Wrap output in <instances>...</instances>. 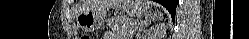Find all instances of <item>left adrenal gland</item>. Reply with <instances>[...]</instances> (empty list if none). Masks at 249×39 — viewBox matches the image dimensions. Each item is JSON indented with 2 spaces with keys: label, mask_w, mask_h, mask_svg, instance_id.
<instances>
[{
  "label": "left adrenal gland",
  "mask_w": 249,
  "mask_h": 39,
  "mask_svg": "<svg viewBox=\"0 0 249 39\" xmlns=\"http://www.w3.org/2000/svg\"><path fill=\"white\" fill-rule=\"evenodd\" d=\"M149 24L148 20L141 22V26H147ZM137 35H139V32L137 33Z\"/></svg>",
  "instance_id": "a2214340"
}]
</instances>
